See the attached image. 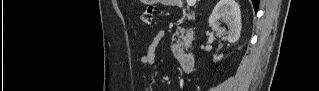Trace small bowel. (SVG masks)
<instances>
[{
  "label": "small bowel",
  "mask_w": 319,
  "mask_h": 91,
  "mask_svg": "<svg viewBox=\"0 0 319 91\" xmlns=\"http://www.w3.org/2000/svg\"><path fill=\"white\" fill-rule=\"evenodd\" d=\"M161 39H162V36L160 34H156L152 38L151 42L146 47L144 54L140 58V63L142 65H150L154 63L156 51Z\"/></svg>",
  "instance_id": "obj_1"
}]
</instances>
